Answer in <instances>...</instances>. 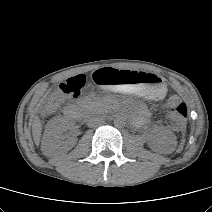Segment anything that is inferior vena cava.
<instances>
[{
  "mask_svg": "<svg viewBox=\"0 0 212 212\" xmlns=\"http://www.w3.org/2000/svg\"><path fill=\"white\" fill-rule=\"evenodd\" d=\"M102 121H103V119L100 117H91L90 119L87 120V125L89 127H93L95 125L100 124Z\"/></svg>",
  "mask_w": 212,
  "mask_h": 212,
  "instance_id": "1",
  "label": "inferior vena cava"
}]
</instances>
